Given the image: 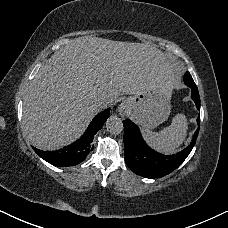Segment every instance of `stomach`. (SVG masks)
I'll return each mask as SVG.
<instances>
[{
  "mask_svg": "<svg viewBox=\"0 0 228 228\" xmlns=\"http://www.w3.org/2000/svg\"><path fill=\"white\" fill-rule=\"evenodd\" d=\"M128 107L119 106L130 116L148 128H155L162 123L170 113V94L162 92L159 88H151L143 93L125 99Z\"/></svg>",
  "mask_w": 228,
  "mask_h": 228,
  "instance_id": "1",
  "label": "stomach"
}]
</instances>
